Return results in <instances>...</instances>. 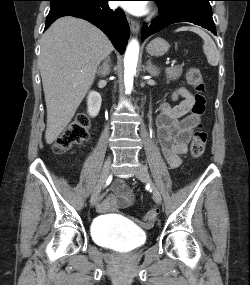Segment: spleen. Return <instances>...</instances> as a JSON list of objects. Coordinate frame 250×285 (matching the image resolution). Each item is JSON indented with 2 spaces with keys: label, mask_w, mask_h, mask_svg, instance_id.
<instances>
[{
  "label": "spleen",
  "mask_w": 250,
  "mask_h": 285,
  "mask_svg": "<svg viewBox=\"0 0 250 285\" xmlns=\"http://www.w3.org/2000/svg\"><path fill=\"white\" fill-rule=\"evenodd\" d=\"M176 31L177 32H179V31H191V32L198 34L203 39V42H204L203 51L207 57V61H208L209 65H211V66H217L218 65L219 58H220L219 51L217 50V47H216L214 41L212 40V38L204 30H202L198 27H189V26L186 27L185 26V27H180Z\"/></svg>",
  "instance_id": "1"
}]
</instances>
